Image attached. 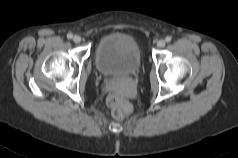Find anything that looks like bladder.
Here are the masks:
<instances>
[{
	"label": "bladder",
	"mask_w": 238,
	"mask_h": 158,
	"mask_svg": "<svg viewBox=\"0 0 238 158\" xmlns=\"http://www.w3.org/2000/svg\"><path fill=\"white\" fill-rule=\"evenodd\" d=\"M141 53L131 35L114 32L103 36L95 49V65L105 76H127L141 67Z\"/></svg>",
	"instance_id": "bladder-1"
}]
</instances>
